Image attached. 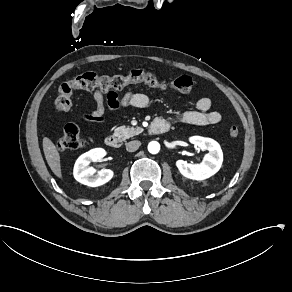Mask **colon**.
Listing matches in <instances>:
<instances>
[{
  "mask_svg": "<svg viewBox=\"0 0 292 292\" xmlns=\"http://www.w3.org/2000/svg\"><path fill=\"white\" fill-rule=\"evenodd\" d=\"M134 83H143L159 90H177L186 94L194 91V82L188 75L164 79L160 78L154 71L136 67L130 69L125 75L105 76L87 72L60 85L55 98V107L58 112H69L73 104L74 92L78 90H119ZM229 134L232 137H237L239 135L238 127L232 126L229 129ZM83 145L82 134L74 125L65 126L57 141L59 150H77Z\"/></svg>",
  "mask_w": 292,
  "mask_h": 292,
  "instance_id": "colon-1",
  "label": "colon"
}]
</instances>
